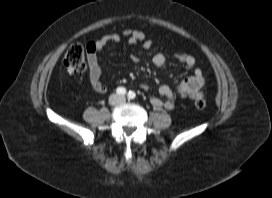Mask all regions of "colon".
I'll use <instances>...</instances> for the list:
<instances>
[{
  "label": "colon",
  "mask_w": 272,
  "mask_h": 198,
  "mask_svg": "<svg viewBox=\"0 0 272 198\" xmlns=\"http://www.w3.org/2000/svg\"><path fill=\"white\" fill-rule=\"evenodd\" d=\"M64 66L70 74H79L85 70V50L81 44L74 43L69 46L64 56ZM194 104L198 109H203L206 106V100L203 97H197Z\"/></svg>",
  "instance_id": "obj_1"
}]
</instances>
